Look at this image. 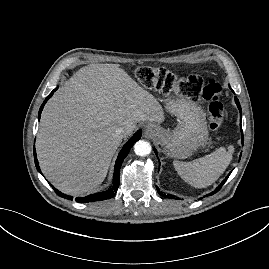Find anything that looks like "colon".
Masks as SVG:
<instances>
[{
	"label": "colon",
	"instance_id": "1",
	"mask_svg": "<svg viewBox=\"0 0 269 269\" xmlns=\"http://www.w3.org/2000/svg\"><path fill=\"white\" fill-rule=\"evenodd\" d=\"M138 81L148 89L174 91L192 100L209 101V121L212 130L219 129L226 119V109L221 101L220 84L214 79L204 80L197 75L178 77L163 68L140 67L136 70Z\"/></svg>",
	"mask_w": 269,
	"mask_h": 269
}]
</instances>
